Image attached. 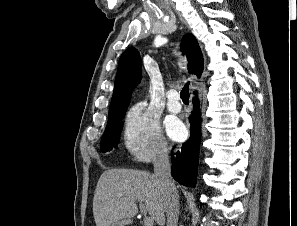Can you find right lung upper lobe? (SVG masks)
I'll use <instances>...</instances> for the list:
<instances>
[{
  "instance_id": "right-lung-upper-lobe-1",
  "label": "right lung upper lobe",
  "mask_w": 297,
  "mask_h": 226,
  "mask_svg": "<svg viewBox=\"0 0 297 226\" xmlns=\"http://www.w3.org/2000/svg\"><path fill=\"white\" fill-rule=\"evenodd\" d=\"M181 50L188 60V71L200 76L203 71V56L196 38L186 34L182 39ZM141 79V58L138 50L128 48L120 57L115 78V87L110 108L129 105L132 91Z\"/></svg>"
}]
</instances>
